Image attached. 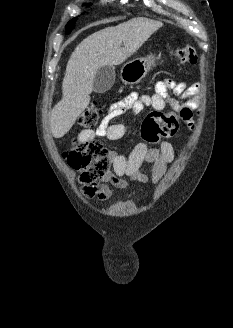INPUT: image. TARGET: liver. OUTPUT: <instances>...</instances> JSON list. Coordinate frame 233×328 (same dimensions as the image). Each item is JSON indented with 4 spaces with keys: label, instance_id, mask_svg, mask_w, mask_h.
Wrapping results in <instances>:
<instances>
[{
    "label": "liver",
    "instance_id": "obj_1",
    "mask_svg": "<svg viewBox=\"0 0 233 328\" xmlns=\"http://www.w3.org/2000/svg\"><path fill=\"white\" fill-rule=\"evenodd\" d=\"M162 25L145 18L131 19L93 33L75 48L62 82V99L50 116L54 138L63 137L87 108L97 71L106 65L123 63Z\"/></svg>",
    "mask_w": 233,
    "mask_h": 328
}]
</instances>
